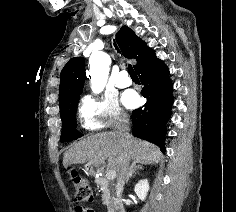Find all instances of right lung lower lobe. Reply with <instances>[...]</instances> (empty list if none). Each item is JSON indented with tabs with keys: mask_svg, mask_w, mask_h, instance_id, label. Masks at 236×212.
Segmentation results:
<instances>
[{
	"mask_svg": "<svg viewBox=\"0 0 236 212\" xmlns=\"http://www.w3.org/2000/svg\"><path fill=\"white\" fill-rule=\"evenodd\" d=\"M147 102L132 112L133 135L158 145L165 151L166 123L171 117L173 84L167 66L153 50L136 70Z\"/></svg>",
	"mask_w": 236,
	"mask_h": 212,
	"instance_id": "98d812e1",
	"label": "right lung lower lobe"
}]
</instances>
